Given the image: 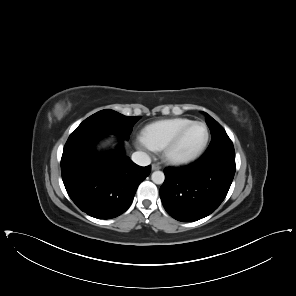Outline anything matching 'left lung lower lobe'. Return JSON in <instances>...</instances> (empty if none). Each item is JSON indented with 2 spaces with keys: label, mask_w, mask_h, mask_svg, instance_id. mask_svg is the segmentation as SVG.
<instances>
[{
  "label": "left lung lower lobe",
  "mask_w": 296,
  "mask_h": 296,
  "mask_svg": "<svg viewBox=\"0 0 296 296\" xmlns=\"http://www.w3.org/2000/svg\"><path fill=\"white\" fill-rule=\"evenodd\" d=\"M235 155L164 170L160 197L176 220L192 222L214 212L226 197L235 174Z\"/></svg>",
  "instance_id": "0a47b994"
}]
</instances>
